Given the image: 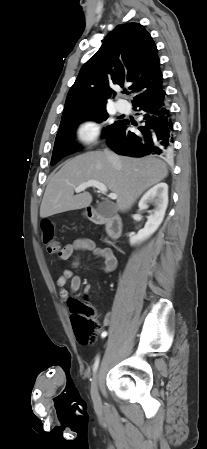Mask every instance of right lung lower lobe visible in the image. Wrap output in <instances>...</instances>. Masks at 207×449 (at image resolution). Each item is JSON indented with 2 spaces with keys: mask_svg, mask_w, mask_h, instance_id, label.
Instances as JSON below:
<instances>
[{
  "mask_svg": "<svg viewBox=\"0 0 207 449\" xmlns=\"http://www.w3.org/2000/svg\"><path fill=\"white\" fill-rule=\"evenodd\" d=\"M134 108H139L143 116L140 132L128 131L130 122L122 120L119 126L107 137L108 146L117 154L142 157L157 154L168 157L172 151L173 124L162 89L154 95L135 100Z\"/></svg>",
  "mask_w": 207,
  "mask_h": 449,
  "instance_id": "98d812e1",
  "label": "right lung lower lobe"
}]
</instances>
